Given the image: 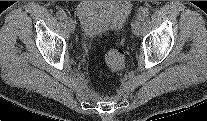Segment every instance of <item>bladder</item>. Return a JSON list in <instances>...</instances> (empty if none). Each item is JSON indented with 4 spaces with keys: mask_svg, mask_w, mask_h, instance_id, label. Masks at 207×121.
I'll return each mask as SVG.
<instances>
[{
    "mask_svg": "<svg viewBox=\"0 0 207 121\" xmlns=\"http://www.w3.org/2000/svg\"><path fill=\"white\" fill-rule=\"evenodd\" d=\"M132 11L130 1H81L76 14L84 36L94 39L121 30Z\"/></svg>",
    "mask_w": 207,
    "mask_h": 121,
    "instance_id": "obj_1",
    "label": "bladder"
}]
</instances>
